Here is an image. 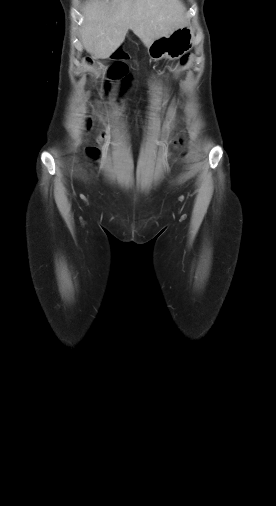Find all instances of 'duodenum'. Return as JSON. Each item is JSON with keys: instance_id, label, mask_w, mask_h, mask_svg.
<instances>
[{"instance_id": "obj_1", "label": "duodenum", "mask_w": 276, "mask_h": 506, "mask_svg": "<svg viewBox=\"0 0 276 506\" xmlns=\"http://www.w3.org/2000/svg\"><path fill=\"white\" fill-rule=\"evenodd\" d=\"M114 50L116 52L115 53L116 56L119 57V58L120 57H126V56H128V54H130V53H128V51H127L128 49L125 46H119V47L117 46V47H115Z\"/></svg>"}]
</instances>
